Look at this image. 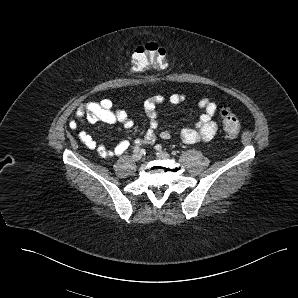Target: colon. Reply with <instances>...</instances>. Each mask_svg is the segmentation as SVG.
<instances>
[{
	"instance_id": "5ec220e1",
	"label": "colon",
	"mask_w": 298,
	"mask_h": 298,
	"mask_svg": "<svg viewBox=\"0 0 298 298\" xmlns=\"http://www.w3.org/2000/svg\"><path fill=\"white\" fill-rule=\"evenodd\" d=\"M130 60L132 69L139 73H145L150 69L162 70L168 64L166 51L155 42L136 47L132 51ZM220 116L226 135L231 139L236 138L241 129L237 116L228 108H222Z\"/></svg>"
}]
</instances>
